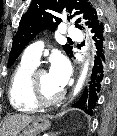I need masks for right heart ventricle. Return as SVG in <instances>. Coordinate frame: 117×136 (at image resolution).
<instances>
[{
  "label": "right heart ventricle",
  "mask_w": 117,
  "mask_h": 136,
  "mask_svg": "<svg viewBox=\"0 0 117 136\" xmlns=\"http://www.w3.org/2000/svg\"><path fill=\"white\" fill-rule=\"evenodd\" d=\"M36 64L22 60L15 69L9 85V101L11 106L21 113H33L38 106L30 95V78Z\"/></svg>",
  "instance_id": "obj_1"
}]
</instances>
